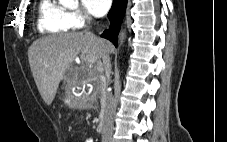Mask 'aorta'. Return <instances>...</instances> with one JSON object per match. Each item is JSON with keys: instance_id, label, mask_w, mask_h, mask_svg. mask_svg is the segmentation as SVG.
Listing matches in <instances>:
<instances>
[{"instance_id": "762f6f07", "label": "aorta", "mask_w": 227, "mask_h": 142, "mask_svg": "<svg viewBox=\"0 0 227 142\" xmlns=\"http://www.w3.org/2000/svg\"><path fill=\"white\" fill-rule=\"evenodd\" d=\"M60 3L67 6H75L78 3V0H59Z\"/></svg>"}]
</instances>
